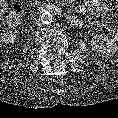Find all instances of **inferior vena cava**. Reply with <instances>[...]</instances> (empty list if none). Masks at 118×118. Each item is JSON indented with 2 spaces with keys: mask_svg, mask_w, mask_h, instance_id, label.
Here are the masks:
<instances>
[{
  "mask_svg": "<svg viewBox=\"0 0 118 118\" xmlns=\"http://www.w3.org/2000/svg\"><path fill=\"white\" fill-rule=\"evenodd\" d=\"M36 24H37V25H41L40 19H37V20H36Z\"/></svg>",
  "mask_w": 118,
  "mask_h": 118,
  "instance_id": "obj_1",
  "label": "inferior vena cava"
}]
</instances>
